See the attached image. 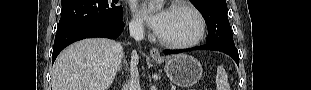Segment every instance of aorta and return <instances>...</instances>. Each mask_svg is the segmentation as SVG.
<instances>
[{
  "label": "aorta",
  "instance_id": "762f6f07",
  "mask_svg": "<svg viewBox=\"0 0 311 90\" xmlns=\"http://www.w3.org/2000/svg\"><path fill=\"white\" fill-rule=\"evenodd\" d=\"M150 3H156L158 8L162 7V0H150Z\"/></svg>",
  "mask_w": 311,
  "mask_h": 90
}]
</instances>
